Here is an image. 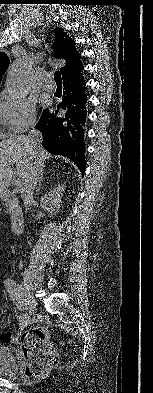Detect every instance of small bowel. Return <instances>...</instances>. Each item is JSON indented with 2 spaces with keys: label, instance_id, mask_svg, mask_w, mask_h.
Here are the masks:
<instances>
[{
  "label": "small bowel",
  "instance_id": "small-bowel-1",
  "mask_svg": "<svg viewBox=\"0 0 153 393\" xmlns=\"http://www.w3.org/2000/svg\"><path fill=\"white\" fill-rule=\"evenodd\" d=\"M26 324H27V321L22 319L21 320V325L25 326ZM11 336H12V334L10 332H5L4 334H2L0 336V341L1 342H5V341L9 340L11 338Z\"/></svg>",
  "mask_w": 153,
  "mask_h": 393
}]
</instances>
